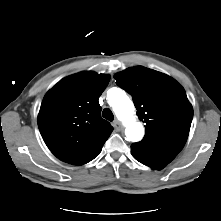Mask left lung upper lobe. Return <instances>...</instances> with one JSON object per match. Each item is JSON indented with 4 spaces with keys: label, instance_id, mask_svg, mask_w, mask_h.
<instances>
[{
    "label": "left lung upper lobe",
    "instance_id": "obj_1",
    "mask_svg": "<svg viewBox=\"0 0 221 221\" xmlns=\"http://www.w3.org/2000/svg\"><path fill=\"white\" fill-rule=\"evenodd\" d=\"M132 97L138 117L146 123L142 148L154 159L170 163L188 138L193 109L183 87L168 75L142 66L114 75Z\"/></svg>",
    "mask_w": 221,
    "mask_h": 221
}]
</instances>
